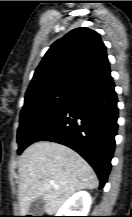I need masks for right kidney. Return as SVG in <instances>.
Segmentation results:
<instances>
[{
	"label": "right kidney",
	"mask_w": 132,
	"mask_h": 217,
	"mask_svg": "<svg viewBox=\"0 0 132 217\" xmlns=\"http://www.w3.org/2000/svg\"><path fill=\"white\" fill-rule=\"evenodd\" d=\"M91 203L90 194L86 191H79L63 204L56 216H87Z\"/></svg>",
	"instance_id": "1"
}]
</instances>
